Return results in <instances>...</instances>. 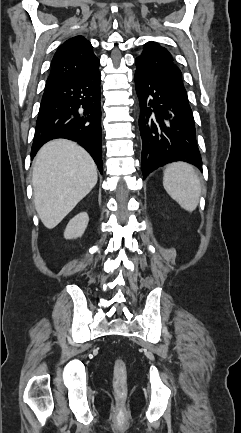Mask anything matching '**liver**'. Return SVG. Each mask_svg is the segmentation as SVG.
<instances>
[{
  "instance_id": "1",
  "label": "liver",
  "mask_w": 241,
  "mask_h": 433,
  "mask_svg": "<svg viewBox=\"0 0 241 433\" xmlns=\"http://www.w3.org/2000/svg\"><path fill=\"white\" fill-rule=\"evenodd\" d=\"M32 185L37 214L48 229L63 218L97 183V167L78 144L57 139L45 144L33 161Z\"/></svg>"
}]
</instances>
